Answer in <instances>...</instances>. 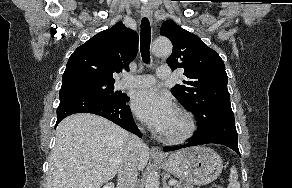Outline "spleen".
Instances as JSON below:
<instances>
[{
	"mask_svg": "<svg viewBox=\"0 0 292 188\" xmlns=\"http://www.w3.org/2000/svg\"><path fill=\"white\" fill-rule=\"evenodd\" d=\"M228 188H240L237 170L234 166L231 167Z\"/></svg>",
	"mask_w": 292,
	"mask_h": 188,
	"instance_id": "obj_1",
	"label": "spleen"
}]
</instances>
